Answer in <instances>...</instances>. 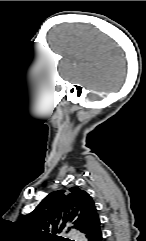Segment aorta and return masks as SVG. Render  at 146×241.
Wrapping results in <instances>:
<instances>
[{"instance_id":"obj_1","label":"aorta","mask_w":146,"mask_h":241,"mask_svg":"<svg viewBox=\"0 0 146 241\" xmlns=\"http://www.w3.org/2000/svg\"><path fill=\"white\" fill-rule=\"evenodd\" d=\"M71 237L75 241H86L85 236L83 234H81L80 232H78V231H72Z\"/></svg>"}]
</instances>
